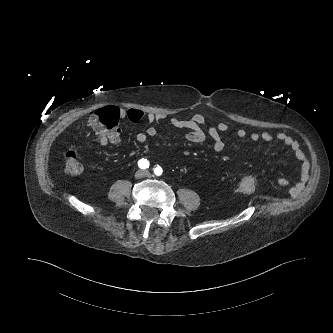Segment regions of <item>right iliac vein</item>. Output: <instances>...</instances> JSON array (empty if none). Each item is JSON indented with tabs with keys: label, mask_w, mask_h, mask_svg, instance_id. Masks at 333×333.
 <instances>
[{
	"label": "right iliac vein",
	"mask_w": 333,
	"mask_h": 333,
	"mask_svg": "<svg viewBox=\"0 0 333 333\" xmlns=\"http://www.w3.org/2000/svg\"><path fill=\"white\" fill-rule=\"evenodd\" d=\"M144 176H145V174H144V171H143V170H138V171L135 173V177H136L137 179L142 178V177H144Z\"/></svg>",
	"instance_id": "obj_1"
}]
</instances>
